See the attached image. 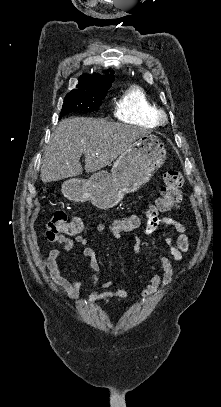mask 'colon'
Returning <instances> with one entry per match:
<instances>
[{
    "mask_svg": "<svg viewBox=\"0 0 221 407\" xmlns=\"http://www.w3.org/2000/svg\"><path fill=\"white\" fill-rule=\"evenodd\" d=\"M183 176L176 170H169L164 175V185L154 203L144 210L143 215H131L115 221L114 230L118 233L134 230L139 227L143 219L158 218L159 215L170 211L182 200ZM83 230L82 220L74 216L71 219L64 211H57L48 221L45 229L46 238L52 240L63 234L78 235Z\"/></svg>",
    "mask_w": 221,
    "mask_h": 407,
    "instance_id": "colon-1",
    "label": "colon"
}]
</instances>
